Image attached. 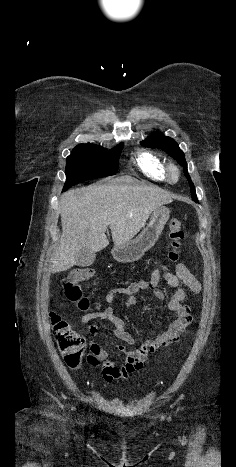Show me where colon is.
I'll return each instance as SVG.
<instances>
[{"instance_id": "5ec220e1", "label": "colon", "mask_w": 236, "mask_h": 467, "mask_svg": "<svg viewBox=\"0 0 236 467\" xmlns=\"http://www.w3.org/2000/svg\"><path fill=\"white\" fill-rule=\"evenodd\" d=\"M171 248L167 253L168 261L176 263L181 259V247L185 238V231L178 219H172L168 225ZM94 269L81 267L74 270L62 283L64 298L77 306L82 311L90 309L89 299L82 294L79 282L91 279ZM51 323L54 330L55 341L64 362L71 369H78L84 360L85 339L76 332L71 325L58 313L51 314Z\"/></svg>"}]
</instances>
